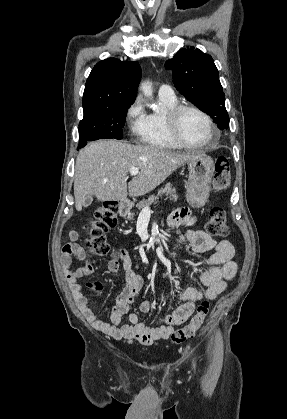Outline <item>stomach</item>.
Segmentation results:
<instances>
[{"instance_id":"obj_1","label":"stomach","mask_w":287,"mask_h":419,"mask_svg":"<svg viewBox=\"0 0 287 419\" xmlns=\"http://www.w3.org/2000/svg\"><path fill=\"white\" fill-rule=\"evenodd\" d=\"M189 178L185 186L186 197L193 207L203 206L208 198L214 175L215 164L211 157L201 156L188 163ZM123 217L130 215V207L123 206L120 209Z\"/></svg>"}]
</instances>
